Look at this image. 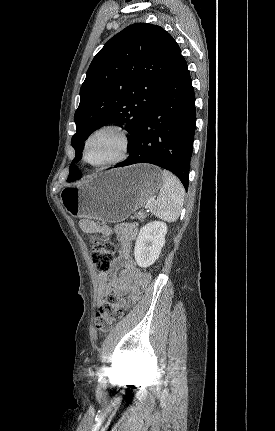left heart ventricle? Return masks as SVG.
Masks as SVG:
<instances>
[{
	"mask_svg": "<svg viewBox=\"0 0 275 431\" xmlns=\"http://www.w3.org/2000/svg\"><path fill=\"white\" fill-rule=\"evenodd\" d=\"M119 150V139L112 132L97 135L89 144L87 156L90 162L99 163L114 157Z\"/></svg>",
	"mask_w": 275,
	"mask_h": 431,
	"instance_id": "obj_1",
	"label": "left heart ventricle"
}]
</instances>
